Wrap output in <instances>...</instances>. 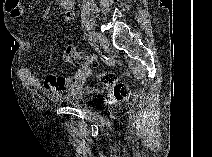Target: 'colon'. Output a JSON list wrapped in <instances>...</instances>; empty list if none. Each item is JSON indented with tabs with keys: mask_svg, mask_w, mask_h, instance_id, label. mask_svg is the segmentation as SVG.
I'll return each mask as SVG.
<instances>
[{
	"mask_svg": "<svg viewBox=\"0 0 212 157\" xmlns=\"http://www.w3.org/2000/svg\"><path fill=\"white\" fill-rule=\"evenodd\" d=\"M64 60L73 65L77 71L75 76L73 77L75 80L79 82H85L88 78V66L93 65L95 63V58L91 55H87L82 51L78 50L75 46L69 45L66 47L63 53ZM101 81L106 86L113 85V93L114 97L122 101L124 100L129 93V89L126 84L118 82L117 76L111 71H102Z\"/></svg>",
	"mask_w": 212,
	"mask_h": 157,
	"instance_id": "1",
	"label": "colon"
}]
</instances>
